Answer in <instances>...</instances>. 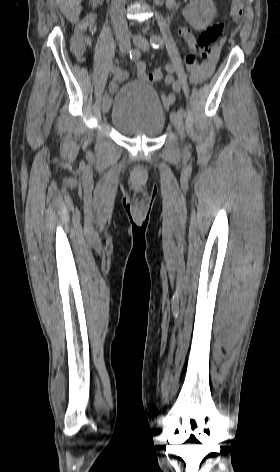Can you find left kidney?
Here are the masks:
<instances>
[{
    "instance_id": "left-kidney-1",
    "label": "left kidney",
    "mask_w": 280,
    "mask_h": 472,
    "mask_svg": "<svg viewBox=\"0 0 280 472\" xmlns=\"http://www.w3.org/2000/svg\"><path fill=\"white\" fill-rule=\"evenodd\" d=\"M183 15L194 29L202 30L213 21L216 7L213 0H194L183 9Z\"/></svg>"
}]
</instances>
